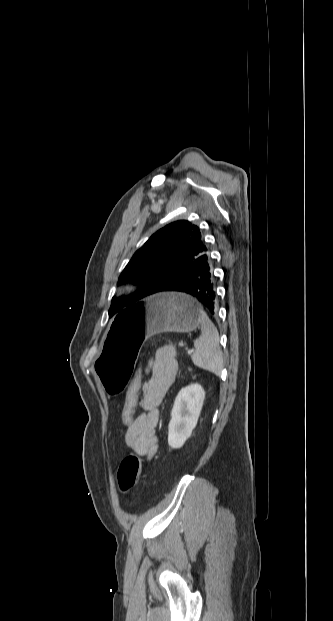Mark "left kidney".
Masks as SVG:
<instances>
[{
    "label": "left kidney",
    "mask_w": 333,
    "mask_h": 621,
    "mask_svg": "<svg viewBox=\"0 0 333 621\" xmlns=\"http://www.w3.org/2000/svg\"><path fill=\"white\" fill-rule=\"evenodd\" d=\"M205 391L199 384L182 388L176 396L168 429V444L180 448L191 436L201 413Z\"/></svg>",
    "instance_id": "obj_1"
}]
</instances>
